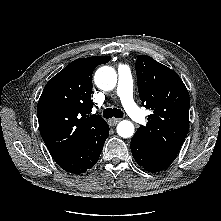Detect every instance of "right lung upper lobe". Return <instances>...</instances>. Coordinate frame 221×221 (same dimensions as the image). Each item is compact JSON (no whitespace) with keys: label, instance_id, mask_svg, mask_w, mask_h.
Here are the masks:
<instances>
[{"label":"right lung upper lobe","instance_id":"obj_1","mask_svg":"<svg viewBox=\"0 0 221 221\" xmlns=\"http://www.w3.org/2000/svg\"><path fill=\"white\" fill-rule=\"evenodd\" d=\"M110 56L79 58L68 64L44 87L37 104L39 130L51 156L58 161L106 122L100 115H90L92 73Z\"/></svg>","mask_w":221,"mask_h":221}]
</instances>
